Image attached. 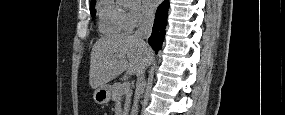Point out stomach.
Instances as JSON below:
<instances>
[{
	"mask_svg": "<svg viewBox=\"0 0 285 115\" xmlns=\"http://www.w3.org/2000/svg\"><path fill=\"white\" fill-rule=\"evenodd\" d=\"M111 90L112 87L107 84L98 87L93 95L94 101L100 105L107 104L111 99Z\"/></svg>",
	"mask_w": 285,
	"mask_h": 115,
	"instance_id": "1",
	"label": "stomach"
}]
</instances>
